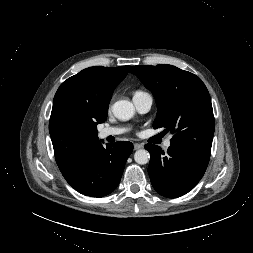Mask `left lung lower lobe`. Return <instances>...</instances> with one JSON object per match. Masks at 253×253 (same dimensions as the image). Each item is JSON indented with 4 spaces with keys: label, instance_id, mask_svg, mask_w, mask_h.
<instances>
[{
    "label": "left lung lower lobe",
    "instance_id": "0a47b994",
    "mask_svg": "<svg viewBox=\"0 0 253 253\" xmlns=\"http://www.w3.org/2000/svg\"><path fill=\"white\" fill-rule=\"evenodd\" d=\"M151 158L148 173L154 189L162 196L177 198L193 189L203 177L209 158L194 151L170 146L167 154L160 147L146 144Z\"/></svg>",
    "mask_w": 253,
    "mask_h": 253
}]
</instances>
